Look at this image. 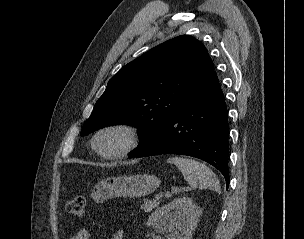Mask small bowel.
Instances as JSON below:
<instances>
[{
	"mask_svg": "<svg viewBox=\"0 0 304 239\" xmlns=\"http://www.w3.org/2000/svg\"><path fill=\"white\" fill-rule=\"evenodd\" d=\"M90 233L86 229L78 230L70 239H90ZM124 233L122 231L116 232L111 239H123Z\"/></svg>",
	"mask_w": 304,
	"mask_h": 239,
	"instance_id": "c3829d8e",
	"label": "small bowel"
}]
</instances>
